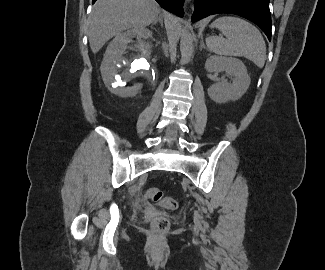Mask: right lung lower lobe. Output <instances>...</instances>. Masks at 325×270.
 <instances>
[{"label": "right lung lower lobe", "instance_id": "98d812e1", "mask_svg": "<svg viewBox=\"0 0 325 270\" xmlns=\"http://www.w3.org/2000/svg\"><path fill=\"white\" fill-rule=\"evenodd\" d=\"M95 1L96 0H93V3H95ZM156 1L164 9L173 12L181 17L184 15V11H183L184 0H156Z\"/></svg>", "mask_w": 325, "mask_h": 270}]
</instances>
